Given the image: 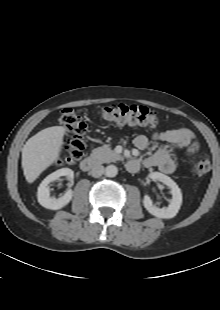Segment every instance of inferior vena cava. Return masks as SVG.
<instances>
[{"label": "inferior vena cava", "mask_w": 220, "mask_h": 310, "mask_svg": "<svg viewBox=\"0 0 220 310\" xmlns=\"http://www.w3.org/2000/svg\"><path fill=\"white\" fill-rule=\"evenodd\" d=\"M105 172V169H104V166L98 164V165H95L91 171H90V174L95 177V178H98L100 176H102V174H104Z\"/></svg>", "instance_id": "1"}]
</instances>
